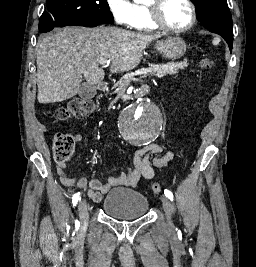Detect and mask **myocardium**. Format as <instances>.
<instances>
[{
  "mask_svg": "<svg viewBox=\"0 0 256 267\" xmlns=\"http://www.w3.org/2000/svg\"><path fill=\"white\" fill-rule=\"evenodd\" d=\"M148 1H149V11L144 21L151 23L153 27L151 30L147 32L159 30L163 32L173 33V34H183V33L190 31L195 26L196 21H197L196 10L193 4L189 0H181V1H183L189 7L190 13H191V20H190V23L186 27L180 28V29H177L168 24H165L161 20L159 12L162 9L163 3L168 0H148Z\"/></svg>",
  "mask_w": 256,
  "mask_h": 267,
  "instance_id": "obj_1",
  "label": "myocardium"
}]
</instances>
